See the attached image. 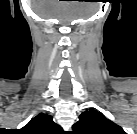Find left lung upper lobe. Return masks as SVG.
Returning a JSON list of instances; mask_svg holds the SVG:
<instances>
[{
    "label": "left lung upper lobe",
    "mask_w": 137,
    "mask_h": 134,
    "mask_svg": "<svg viewBox=\"0 0 137 134\" xmlns=\"http://www.w3.org/2000/svg\"><path fill=\"white\" fill-rule=\"evenodd\" d=\"M74 134H126L117 124L107 119L101 112L90 109L83 112L73 125Z\"/></svg>",
    "instance_id": "left-lung-upper-lobe-1"
}]
</instances>
